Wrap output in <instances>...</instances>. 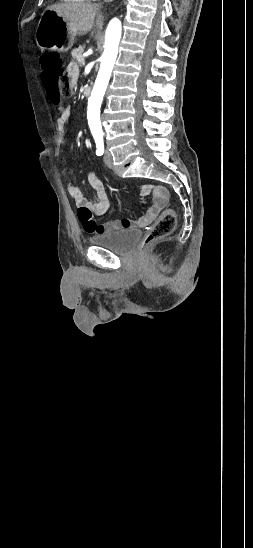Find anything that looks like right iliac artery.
<instances>
[{
	"mask_svg": "<svg viewBox=\"0 0 253 548\" xmlns=\"http://www.w3.org/2000/svg\"><path fill=\"white\" fill-rule=\"evenodd\" d=\"M104 153V144L101 141L96 142V154L98 156L103 155Z\"/></svg>",
	"mask_w": 253,
	"mask_h": 548,
	"instance_id": "obj_1",
	"label": "right iliac artery"
}]
</instances>
